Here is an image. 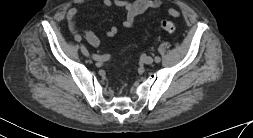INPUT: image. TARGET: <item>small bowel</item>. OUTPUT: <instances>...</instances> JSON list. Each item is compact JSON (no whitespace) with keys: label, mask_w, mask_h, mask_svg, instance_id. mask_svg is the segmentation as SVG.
I'll list each match as a JSON object with an SVG mask.
<instances>
[{"label":"small bowel","mask_w":253,"mask_h":138,"mask_svg":"<svg viewBox=\"0 0 253 138\" xmlns=\"http://www.w3.org/2000/svg\"><path fill=\"white\" fill-rule=\"evenodd\" d=\"M103 4L108 7L123 8L126 11V17L123 21V26L127 29L134 28L136 18L148 9H158L162 6L161 0H135L133 2H129L126 0H103ZM78 13L79 10L75 7L70 8L67 11L66 19L70 30L74 33L82 32L84 34L85 39L90 45L94 47L100 46L101 37L98 34L93 32L92 30L81 29L79 27L76 21ZM166 13L175 18L180 16V12L174 8H167ZM118 32V27L112 26L105 32V36L108 38H113L118 34Z\"/></svg>","instance_id":"obj_1"}]
</instances>
